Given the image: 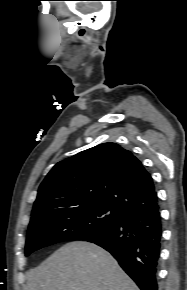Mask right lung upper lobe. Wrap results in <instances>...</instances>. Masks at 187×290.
<instances>
[{"mask_svg": "<svg viewBox=\"0 0 187 290\" xmlns=\"http://www.w3.org/2000/svg\"><path fill=\"white\" fill-rule=\"evenodd\" d=\"M106 205L122 215L159 207L153 179L115 143H103L57 163L39 187L31 222L52 213Z\"/></svg>", "mask_w": 187, "mask_h": 290, "instance_id": "right-lung-upper-lobe-1", "label": "right lung upper lobe"}]
</instances>
